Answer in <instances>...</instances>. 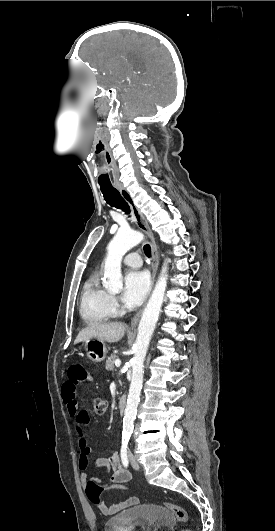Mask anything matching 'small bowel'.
<instances>
[{
  "label": "small bowel",
  "instance_id": "c3829d8e",
  "mask_svg": "<svg viewBox=\"0 0 275 531\" xmlns=\"http://www.w3.org/2000/svg\"><path fill=\"white\" fill-rule=\"evenodd\" d=\"M66 374L68 376V384L64 385L62 390V398L67 406L68 413L73 420V424L80 437V455L78 457V467L81 471V480L87 483V469L90 466L89 455L91 448L84 438V430L89 424L88 413L84 409H80L76 398V387L73 384L90 383L92 381L91 371L87 367H77L76 364L70 363L66 367ZM94 467L97 469H105L111 473V478H116L120 486L127 484L131 480V473L124 469L120 463L119 454L114 451L108 456L97 457L94 461ZM139 503L137 497H130L124 501L106 504L103 501L97 506L99 511L106 515L112 516L118 512L129 507L135 506Z\"/></svg>",
  "mask_w": 275,
  "mask_h": 531
}]
</instances>
